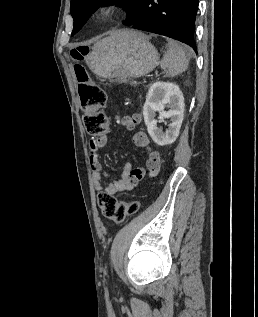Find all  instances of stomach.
<instances>
[{
    "instance_id": "0dacf381",
    "label": "stomach",
    "mask_w": 258,
    "mask_h": 317,
    "mask_svg": "<svg viewBox=\"0 0 258 317\" xmlns=\"http://www.w3.org/2000/svg\"><path fill=\"white\" fill-rule=\"evenodd\" d=\"M88 48L86 64L104 78L144 76L155 68L159 58L158 50L138 30H122L116 38H105Z\"/></svg>"
}]
</instances>
